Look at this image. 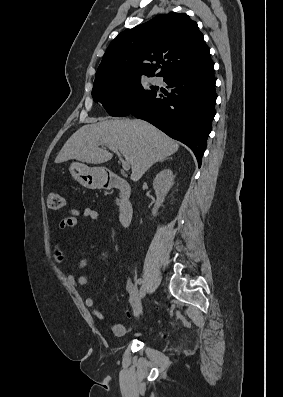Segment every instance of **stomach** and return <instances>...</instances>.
Here are the masks:
<instances>
[{
    "mask_svg": "<svg viewBox=\"0 0 283 397\" xmlns=\"http://www.w3.org/2000/svg\"><path fill=\"white\" fill-rule=\"evenodd\" d=\"M69 171L73 178L86 188L99 189L105 185L106 172L102 167H89L84 163L72 162Z\"/></svg>",
    "mask_w": 283,
    "mask_h": 397,
    "instance_id": "stomach-1",
    "label": "stomach"
}]
</instances>
